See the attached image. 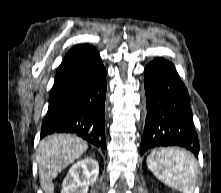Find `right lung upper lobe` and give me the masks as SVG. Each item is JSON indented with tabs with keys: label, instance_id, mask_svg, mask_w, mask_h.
<instances>
[{
	"label": "right lung upper lobe",
	"instance_id": "cb5924a9",
	"mask_svg": "<svg viewBox=\"0 0 221 193\" xmlns=\"http://www.w3.org/2000/svg\"><path fill=\"white\" fill-rule=\"evenodd\" d=\"M100 59L98 51L89 44L70 49L57 70L49 102L64 95Z\"/></svg>",
	"mask_w": 221,
	"mask_h": 193
}]
</instances>
